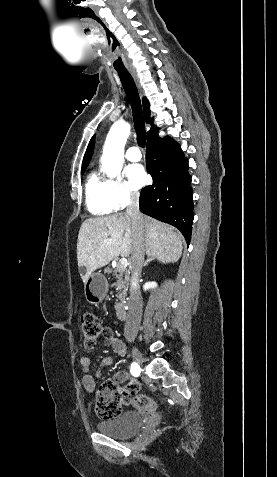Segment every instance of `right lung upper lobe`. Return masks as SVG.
<instances>
[{"instance_id": "obj_1", "label": "right lung upper lobe", "mask_w": 277, "mask_h": 477, "mask_svg": "<svg viewBox=\"0 0 277 477\" xmlns=\"http://www.w3.org/2000/svg\"><path fill=\"white\" fill-rule=\"evenodd\" d=\"M149 102L146 98H143V110H144V117H145V120L147 123H150L151 124V129L148 131V138L147 140L148 141H151L153 139H156L158 138V128L153 124V118L150 119V108H149ZM93 148H94V136L92 137V139L90 140V143L87 147V150H86V153L84 155V158H83V163H82V169H86L89 162H90V159H91V156L93 154Z\"/></svg>"}]
</instances>
